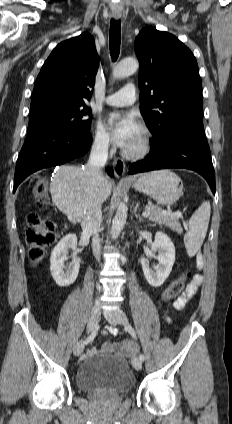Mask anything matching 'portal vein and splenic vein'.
I'll list each match as a JSON object with an SVG mask.
<instances>
[{
	"instance_id": "1",
	"label": "portal vein and splenic vein",
	"mask_w": 232,
	"mask_h": 424,
	"mask_svg": "<svg viewBox=\"0 0 232 424\" xmlns=\"http://www.w3.org/2000/svg\"><path fill=\"white\" fill-rule=\"evenodd\" d=\"M164 213H166V212H164ZM176 215H178V216H181V213H175ZM142 215L144 216V217H148L149 215H150V212L149 211H144L143 213H142ZM184 225L186 226V224L184 223Z\"/></svg>"
}]
</instances>
